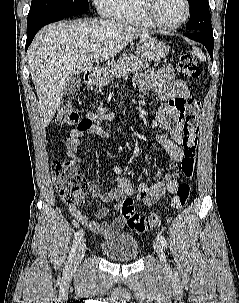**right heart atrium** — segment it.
<instances>
[{
    "label": "right heart atrium",
    "mask_w": 239,
    "mask_h": 303,
    "mask_svg": "<svg viewBox=\"0 0 239 303\" xmlns=\"http://www.w3.org/2000/svg\"><path fill=\"white\" fill-rule=\"evenodd\" d=\"M96 8L102 16L111 17L114 15L119 0H93Z\"/></svg>",
    "instance_id": "obj_1"
}]
</instances>
